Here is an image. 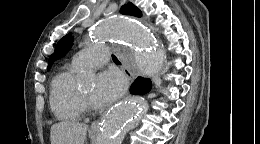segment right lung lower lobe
<instances>
[{
  "mask_svg": "<svg viewBox=\"0 0 260 144\" xmlns=\"http://www.w3.org/2000/svg\"><path fill=\"white\" fill-rule=\"evenodd\" d=\"M152 83L150 79L138 77L131 86L132 94H145L151 90Z\"/></svg>",
  "mask_w": 260,
  "mask_h": 144,
  "instance_id": "obj_1",
  "label": "right lung lower lobe"
}]
</instances>
